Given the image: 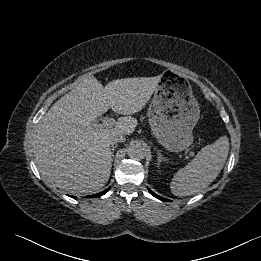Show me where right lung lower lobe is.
Returning <instances> with one entry per match:
<instances>
[{
    "mask_svg": "<svg viewBox=\"0 0 261 261\" xmlns=\"http://www.w3.org/2000/svg\"><path fill=\"white\" fill-rule=\"evenodd\" d=\"M109 189H110V188H108V189H106L105 191L100 192V193H98V194L91 195V196H89V197H99V196H102V195H104Z\"/></svg>",
    "mask_w": 261,
    "mask_h": 261,
    "instance_id": "obj_1",
    "label": "right lung lower lobe"
}]
</instances>
